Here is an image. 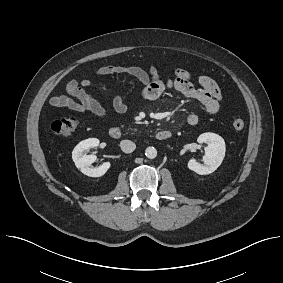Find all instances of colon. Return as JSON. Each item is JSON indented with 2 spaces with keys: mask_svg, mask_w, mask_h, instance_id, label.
<instances>
[{
  "mask_svg": "<svg viewBox=\"0 0 283 283\" xmlns=\"http://www.w3.org/2000/svg\"><path fill=\"white\" fill-rule=\"evenodd\" d=\"M79 126V119L75 116H64L53 122L52 131L62 137H68L72 135ZM232 126L235 130H242L245 126V122L237 118L233 121Z\"/></svg>",
  "mask_w": 283,
  "mask_h": 283,
  "instance_id": "obj_1",
  "label": "colon"
}]
</instances>
